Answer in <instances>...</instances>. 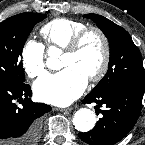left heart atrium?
I'll list each match as a JSON object with an SVG mask.
<instances>
[{"instance_id":"1","label":"left heart atrium","mask_w":145,"mask_h":145,"mask_svg":"<svg viewBox=\"0 0 145 145\" xmlns=\"http://www.w3.org/2000/svg\"><path fill=\"white\" fill-rule=\"evenodd\" d=\"M87 81L88 78L79 69L69 66L40 78L34 83L33 90L43 102L66 106L82 94Z\"/></svg>"}]
</instances>
